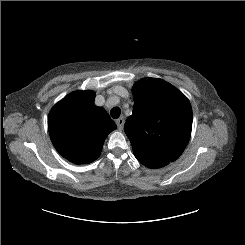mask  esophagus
<instances>
[{
  "label": "esophagus",
  "instance_id": "34e87169",
  "mask_svg": "<svg viewBox=\"0 0 245 245\" xmlns=\"http://www.w3.org/2000/svg\"><path fill=\"white\" fill-rule=\"evenodd\" d=\"M124 123H125V120H124V117L123 116H121L120 118H118L116 120V124H117V127H118L119 130H122L123 129Z\"/></svg>",
  "mask_w": 245,
  "mask_h": 245
}]
</instances>
